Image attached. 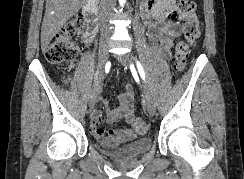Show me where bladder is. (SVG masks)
<instances>
[{
  "label": "bladder",
  "mask_w": 244,
  "mask_h": 179,
  "mask_svg": "<svg viewBox=\"0 0 244 179\" xmlns=\"http://www.w3.org/2000/svg\"><path fill=\"white\" fill-rule=\"evenodd\" d=\"M151 148L150 137L138 138L116 150L106 151V154L115 159H131L143 156Z\"/></svg>",
  "instance_id": "1"
}]
</instances>
